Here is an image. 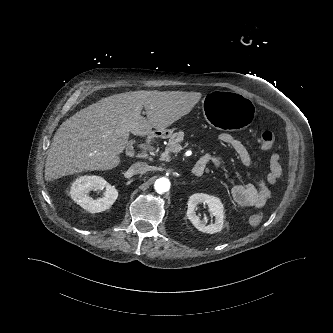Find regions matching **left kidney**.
<instances>
[{
	"label": "left kidney",
	"instance_id": "5707ae66",
	"mask_svg": "<svg viewBox=\"0 0 333 333\" xmlns=\"http://www.w3.org/2000/svg\"><path fill=\"white\" fill-rule=\"evenodd\" d=\"M199 203H206L210 212L215 217V222L207 225L205 220H200L196 215L195 208ZM187 217L196 229L201 232L214 234L223 228L224 208L220 199L204 193H195L188 199Z\"/></svg>",
	"mask_w": 333,
	"mask_h": 333
}]
</instances>
